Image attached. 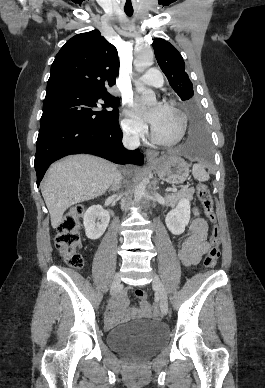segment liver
<instances>
[{
  "instance_id": "1",
  "label": "liver",
  "mask_w": 265,
  "mask_h": 388,
  "mask_svg": "<svg viewBox=\"0 0 265 388\" xmlns=\"http://www.w3.org/2000/svg\"><path fill=\"white\" fill-rule=\"evenodd\" d=\"M117 166L95 156H68L47 170L41 184L52 228H58L67 208L94 200L112 186Z\"/></svg>"
}]
</instances>
